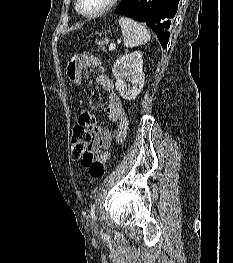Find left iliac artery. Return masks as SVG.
Masks as SVG:
<instances>
[{
	"label": "left iliac artery",
	"instance_id": "obj_1",
	"mask_svg": "<svg viewBox=\"0 0 233 263\" xmlns=\"http://www.w3.org/2000/svg\"><path fill=\"white\" fill-rule=\"evenodd\" d=\"M91 218L95 221L96 220V215H95V204L91 205V212H90Z\"/></svg>",
	"mask_w": 233,
	"mask_h": 263
}]
</instances>
